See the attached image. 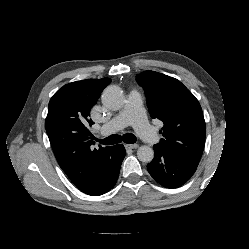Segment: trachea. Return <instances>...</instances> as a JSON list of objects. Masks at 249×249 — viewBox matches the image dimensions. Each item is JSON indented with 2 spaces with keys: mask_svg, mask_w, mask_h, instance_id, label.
<instances>
[{
  "mask_svg": "<svg viewBox=\"0 0 249 249\" xmlns=\"http://www.w3.org/2000/svg\"><path fill=\"white\" fill-rule=\"evenodd\" d=\"M92 137L100 144H105V145H113V144L120 143L122 141H124L125 143H128V144H133L137 141L136 136L133 135L132 133H126L123 136L114 134V135L108 136L105 139H97L94 136H92Z\"/></svg>",
  "mask_w": 249,
  "mask_h": 249,
  "instance_id": "3493384b",
  "label": "trachea"
}]
</instances>
